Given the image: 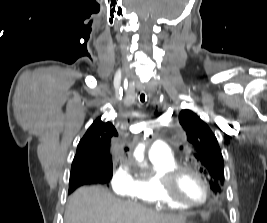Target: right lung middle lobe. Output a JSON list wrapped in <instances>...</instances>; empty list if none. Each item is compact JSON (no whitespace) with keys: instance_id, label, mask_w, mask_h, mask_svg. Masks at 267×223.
<instances>
[{"instance_id":"dd1d6c3e","label":"right lung middle lobe","mask_w":267,"mask_h":223,"mask_svg":"<svg viewBox=\"0 0 267 223\" xmlns=\"http://www.w3.org/2000/svg\"><path fill=\"white\" fill-rule=\"evenodd\" d=\"M112 174H113V166L111 168H108L107 169V172L105 173V176L111 178L112 177ZM72 175L73 174L71 173L70 176H72Z\"/></svg>"}]
</instances>
